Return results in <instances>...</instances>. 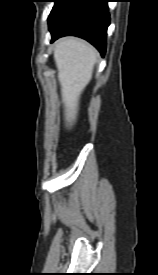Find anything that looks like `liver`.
<instances>
[{
	"mask_svg": "<svg viewBox=\"0 0 158 275\" xmlns=\"http://www.w3.org/2000/svg\"><path fill=\"white\" fill-rule=\"evenodd\" d=\"M97 56L91 45L77 38H64L55 45L54 60L67 127H72L76 121L80 95L92 78Z\"/></svg>",
	"mask_w": 158,
	"mask_h": 275,
	"instance_id": "obj_1",
	"label": "liver"
}]
</instances>
